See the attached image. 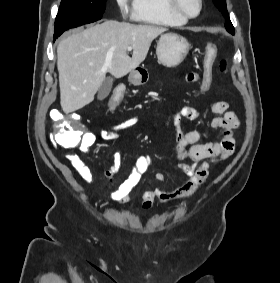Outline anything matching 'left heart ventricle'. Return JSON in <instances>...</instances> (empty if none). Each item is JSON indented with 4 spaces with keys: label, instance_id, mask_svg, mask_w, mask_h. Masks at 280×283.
<instances>
[{
    "label": "left heart ventricle",
    "instance_id": "left-heart-ventricle-1",
    "mask_svg": "<svg viewBox=\"0 0 280 283\" xmlns=\"http://www.w3.org/2000/svg\"><path fill=\"white\" fill-rule=\"evenodd\" d=\"M183 9L191 14L198 11V0H179Z\"/></svg>",
    "mask_w": 280,
    "mask_h": 283
}]
</instances>
